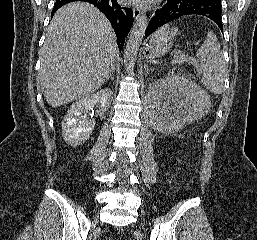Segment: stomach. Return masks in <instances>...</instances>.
<instances>
[{
	"label": "stomach",
	"instance_id": "0dacf381",
	"mask_svg": "<svg viewBox=\"0 0 257 240\" xmlns=\"http://www.w3.org/2000/svg\"><path fill=\"white\" fill-rule=\"evenodd\" d=\"M172 44V36L168 32L160 33L157 38H151L147 44V51L150 57L164 55Z\"/></svg>",
	"mask_w": 257,
	"mask_h": 240
}]
</instances>
